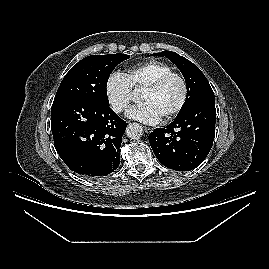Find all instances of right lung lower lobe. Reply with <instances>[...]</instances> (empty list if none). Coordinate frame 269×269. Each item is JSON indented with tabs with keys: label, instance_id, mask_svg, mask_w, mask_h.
<instances>
[{
	"label": "right lung lower lobe",
	"instance_id": "obj_1",
	"mask_svg": "<svg viewBox=\"0 0 269 269\" xmlns=\"http://www.w3.org/2000/svg\"><path fill=\"white\" fill-rule=\"evenodd\" d=\"M51 126L55 148L72 171L98 178L119 166L127 123L109 105L77 98L54 100Z\"/></svg>",
	"mask_w": 269,
	"mask_h": 269
}]
</instances>
